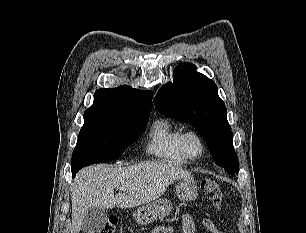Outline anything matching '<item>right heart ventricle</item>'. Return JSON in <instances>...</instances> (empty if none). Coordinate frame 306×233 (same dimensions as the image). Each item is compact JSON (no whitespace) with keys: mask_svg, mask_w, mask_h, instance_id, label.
I'll list each match as a JSON object with an SVG mask.
<instances>
[{"mask_svg":"<svg viewBox=\"0 0 306 233\" xmlns=\"http://www.w3.org/2000/svg\"><path fill=\"white\" fill-rule=\"evenodd\" d=\"M183 128L167 119L155 122L147 150L150 154L175 164H183L185 157L181 149Z\"/></svg>","mask_w":306,"mask_h":233,"instance_id":"obj_1","label":"right heart ventricle"}]
</instances>
